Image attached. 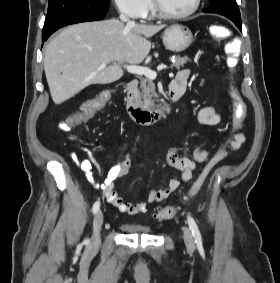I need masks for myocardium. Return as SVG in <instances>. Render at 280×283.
I'll list each match as a JSON object with an SVG mask.
<instances>
[{"instance_id":"1","label":"myocardium","mask_w":280,"mask_h":283,"mask_svg":"<svg viewBox=\"0 0 280 283\" xmlns=\"http://www.w3.org/2000/svg\"><path fill=\"white\" fill-rule=\"evenodd\" d=\"M201 0H194L192 7L180 14H171L164 11L157 3L156 0H151V6L154 14L164 20H182L193 15L200 7Z\"/></svg>"}]
</instances>
